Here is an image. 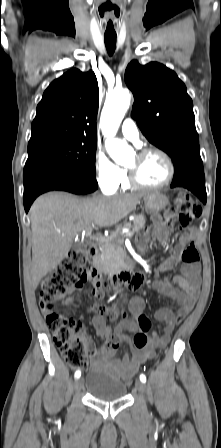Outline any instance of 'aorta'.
<instances>
[{"mask_svg": "<svg viewBox=\"0 0 221 448\" xmlns=\"http://www.w3.org/2000/svg\"><path fill=\"white\" fill-rule=\"evenodd\" d=\"M130 102L131 96L127 89L115 91L107 97L101 114V127L106 137V150L110 157L120 165L125 164L132 153V148L125 141L115 139L114 135Z\"/></svg>", "mask_w": 221, "mask_h": 448, "instance_id": "obj_1", "label": "aorta"}]
</instances>
